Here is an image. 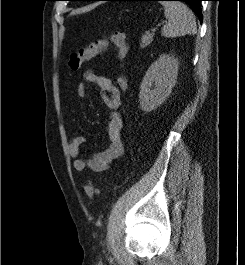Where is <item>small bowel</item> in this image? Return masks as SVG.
<instances>
[{"instance_id": "c3829d8e", "label": "small bowel", "mask_w": 245, "mask_h": 265, "mask_svg": "<svg viewBox=\"0 0 245 265\" xmlns=\"http://www.w3.org/2000/svg\"><path fill=\"white\" fill-rule=\"evenodd\" d=\"M84 81L96 85L105 105L111 110L107 133L108 146L102 152L94 154L90 159L80 157V149L85 143L84 136L77 135L71 138L68 144L70 157L73 159V168L76 172H83L90 169L93 172L106 171L110 164L123 153L122 129L123 121L118 109L121 105V94L117 85L107 76L97 74L92 70L84 73ZM77 95L80 98L87 96V89L84 83L77 85Z\"/></svg>"}]
</instances>
